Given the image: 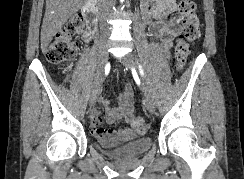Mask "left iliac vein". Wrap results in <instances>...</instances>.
I'll return each instance as SVG.
<instances>
[{
	"label": "left iliac vein",
	"instance_id": "left-iliac-vein-1",
	"mask_svg": "<svg viewBox=\"0 0 244 179\" xmlns=\"http://www.w3.org/2000/svg\"><path fill=\"white\" fill-rule=\"evenodd\" d=\"M120 62L122 65L127 66L129 68H134L136 67V60L133 58L132 55L127 54L125 56H123L122 58H120ZM144 98H145V106L146 109L151 113H155V109H156V102H155V98L153 95V92L149 86V84L147 83V81L144 82L143 85V89H142Z\"/></svg>",
	"mask_w": 244,
	"mask_h": 179
}]
</instances>
